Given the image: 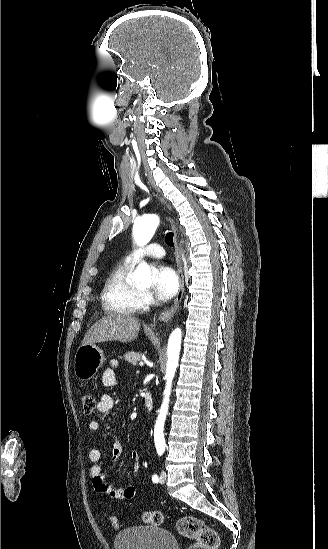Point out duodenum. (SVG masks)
Returning <instances> with one entry per match:
<instances>
[{"label":"duodenum","instance_id":"obj_1","mask_svg":"<svg viewBox=\"0 0 328 549\" xmlns=\"http://www.w3.org/2000/svg\"><path fill=\"white\" fill-rule=\"evenodd\" d=\"M144 403L146 408L151 411L153 409L154 403H153V397L150 392L144 393Z\"/></svg>","mask_w":328,"mask_h":549}]
</instances>
